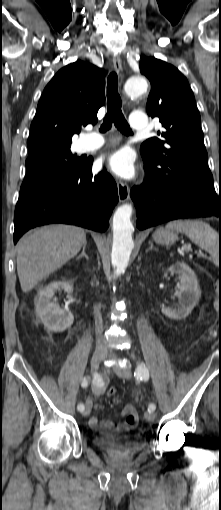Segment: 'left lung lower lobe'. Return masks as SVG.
<instances>
[{"label": "left lung lower lobe", "instance_id": "obj_1", "mask_svg": "<svg viewBox=\"0 0 221 510\" xmlns=\"http://www.w3.org/2000/svg\"><path fill=\"white\" fill-rule=\"evenodd\" d=\"M143 161L144 183L131 189L137 209L136 226L140 230L183 218L217 216L221 221V192L216 193L213 185L198 182L163 185L144 157Z\"/></svg>", "mask_w": 221, "mask_h": 510}]
</instances>
